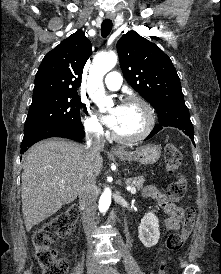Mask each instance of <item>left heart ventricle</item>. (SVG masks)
<instances>
[{"label":"left heart ventricle","mask_w":221,"mask_h":274,"mask_svg":"<svg viewBox=\"0 0 221 274\" xmlns=\"http://www.w3.org/2000/svg\"><path fill=\"white\" fill-rule=\"evenodd\" d=\"M117 111V123L113 130L121 136H135L146 125V114L142 106L136 103L120 105Z\"/></svg>","instance_id":"b2bd125f"}]
</instances>
